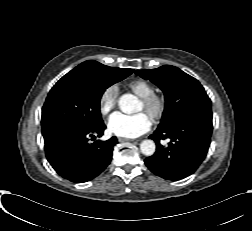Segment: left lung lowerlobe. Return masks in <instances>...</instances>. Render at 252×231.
I'll return each mask as SVG.
<instances>
[{
    "label": "left lung lower lobe",
    "instance_id": "1",
    "mask_svg": "<svg viewBox=\"0 0 252 231\" xmlns=\"http://www.w3.org/2000/svg\"><path fill=\"white\" fill-rule=\"evenodd\" d=\"M212 129V114L192 113L156 130L150 136L156 142V152L144 160L146 166L167 180L191 175L208 152ZM161 139L170 140L167 147L160 144Z\"/></svg>",
    "mask_w": 252,
    "mask_h": 231
}]
</instances>
